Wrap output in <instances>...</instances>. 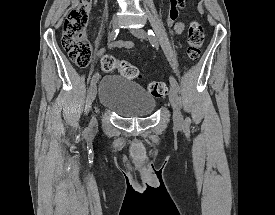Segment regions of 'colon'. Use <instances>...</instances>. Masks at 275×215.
<instances>
[{"label":"colon","instance_id":"colon-1","mask_svg":"<svg viewBox=\"0 0 275 215\" xmlns=\"http://www.w3.org/2000/svg\"><path fill=\"white\" fill-rule=\"evenodd\" d=\"M92 0H78L70 9L62 26V45L69 58L78 66L85 67L91 62V47L87 39L86 26L89 21V11ZM204 42L203 26L193 21L189 24L187 32L186 55L190 61H197L200 57V49ZM101 68L105 73H113L119 70L127 79L140 78L138 68L125 60H118L111 55H105L101 59ZM147 91L155 98H161L167 94V86L160 81H150Z\"/></svg>","mask_w":275,"mask_h":215}]
</instances>
